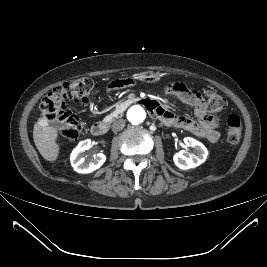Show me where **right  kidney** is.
I'll use <instances>...</instances> for the list:
<instances>
[{
  "instance_id": "right-kidney-1",
  "label": "right kidney",
  "mask_w": 267,
  "mask_h": 267,
  "mask_svg": "<svg viewBox=\"0 0 267 267\" xmlns=\"http://www.w3.org/2000/svg\"><path fill=\"white\" fill-rule=\"evenodd\" d=\"M92 147L91 140L86 139L79 142L76 148L73 149L70 157L71 165L78 173H91L100 168L106 161V156L103 153L94 155L90 161H85L83 153Z\"/></svg>"
}]
</instances>
